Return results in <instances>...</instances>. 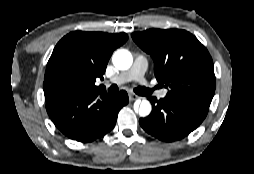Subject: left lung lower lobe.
Segmentation results:
<instances>
[{
  "label": "left lung lower lobe",
  "instance_id": "left-lung-lower-lobe-1",
  "mask_svg": "<svg viewBox=\"0 0 254 174\" xmlns=\"http://www.w3.org/2000/svg\"><path fill=\"white\" fill-rule=\"evenodd\" d=\"M152 112L141 118V127L150 135L166 142L180 140L195 130L206 117L209 107L193 100L149 97Z\"/></svg>",
  "mask_w": 254,
  "mask_h": 174
}]
</instances>
